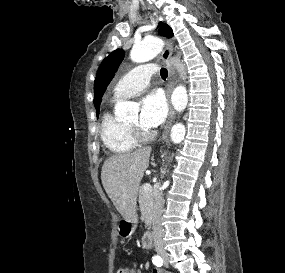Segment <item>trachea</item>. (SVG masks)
Returning a JSON list of instances; mask_svg holds the SVG:
<instances>
[{
	"label": "trachea",
	"instance_id": "obj_1",
	"mask_svg": "<svg viewBox=\"0 0 285 273\" xmlns=\"http://www.w3.org/2000/svg\"><path fill=\"white\" fill-rule=\"evenodd\" d=\"M160 75H161L162 79L165 80V79L167 78V76H168V71H167V69L162 68V69L160 70Z\"/></svg>",
	"mask_w": 285,
	"mask_h": 273
}]
</instances>
